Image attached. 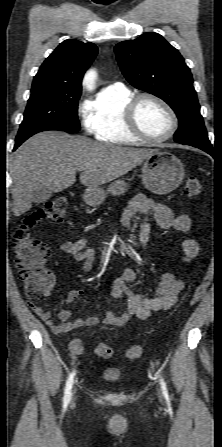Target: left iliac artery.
I'll return each instance as SVG.
<instances>
[{"label": "left iliac artery", "instance_id": "left-iliac-artery-1", "mask_svg": "<svg viewBox=\"0 0 222 447\" xmlns=\"http://www.w3.org/2000/svg\"><path fill=\"white\" fill-rule=\"evenodd\" d=\"M160 384H161V388H162L164 397L166 398V400H169L166 383L164 382V380L162 378L160 379Z\"/></svg>", "mask_w": 222, "mask_h": 447}]
</instances>
